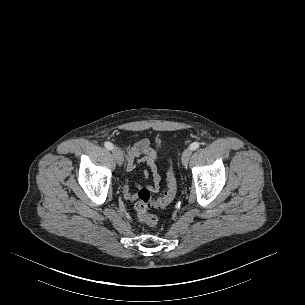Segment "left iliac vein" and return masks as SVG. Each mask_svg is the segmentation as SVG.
<instances>
[{"mask_svg":"<svg viewBox=\"0 0 305 305\" xmlns=\"http://www.w3.org/2000/svg\"><path fill=\"white\" fill-rule=\"evenodd\" d=\"M191 154H192V150L190 148L185 149L184 152L182 153L181 160L184 166L188 164Z\"/></svg>","mask_w":305,"mask_h":305,"instance_id":"obj_1","label":"left iliac vein"}]
</instances>
